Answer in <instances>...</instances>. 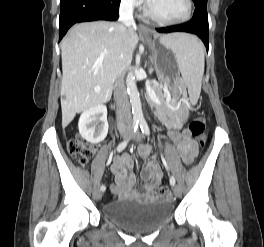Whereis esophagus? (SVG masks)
I'll use <instances>...</instances> for the list:
<instances>
[{"instance_id": "obj_1", "label": "esophagus", "mask_w": 264, "mask_h": 247, "mask_svg": "<svg viewBox=\"0 0 264 247\" xmlns=\"http://www.w3.org/2000/svg\"><path fill=\"white\" fill-rule=\"evenodd\" d=\"M140 29L143 33H149V29L145 26H141Z\"/></svg>"}]
</instances>
